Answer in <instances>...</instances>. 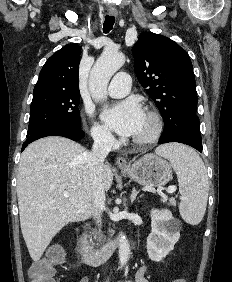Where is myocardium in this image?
Returning a JSON list of instances; mask_svg holds the SVG:
<instances>
[{"label":"myocardium","mask_w":232,"mask_h":282,"mask_svg":"<svg viewBox=\"0 0 232 282\" xmlns=\"http://www.w3.org/2000/svg\"><path fill=\"white\" fill-rule=\"evenodd\" d=\"M146 116L151 122V130L145 136L132 139V142L139 146L149 145L157 141L164 128L163 119L156 110L148 109L146 111Z\"/></svg>","instance_id":"myocardium-1"}]
</instances>
